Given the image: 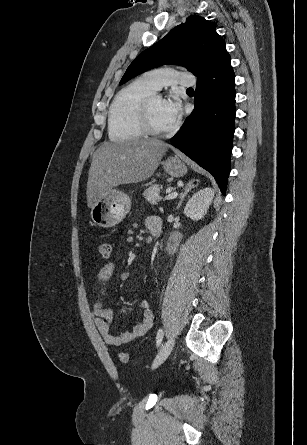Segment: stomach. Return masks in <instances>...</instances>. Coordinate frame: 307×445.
Wrapping results in <instances>:
<instances>
[{"label": "stomach", "mask_w": 307, "mask_h": 445, "mask_svg": "<svg viewBox=\"0 0 307 445\" xmlns=\"http://www.w3.org/2000/svg\"><path fill=\"white\" fill-rule=\"evenodd\" d=\"M163 166L171 176H183L188 168L179 158L171 156L163 162ZM131 208V198L123 190H112L111 194L99 198L91 208V218L95 225L103 229H112L121 223Z\"/></svg>", "instance_id": "1"}]
</instances>
